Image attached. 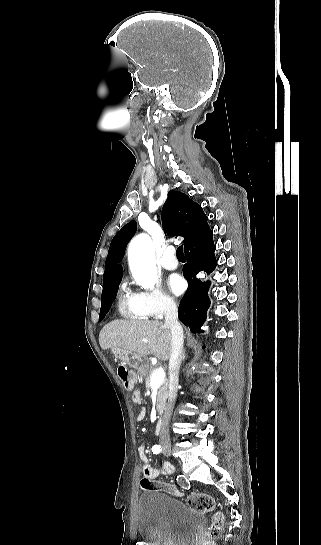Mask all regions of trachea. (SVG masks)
Listing matches in <instances>:
<instances>
[{
    "label": "trachea",
    "mask_w": 321,
    "mask_h": 545,
    "mask_svg": "<svg viewBox=\"0 0 321 545\" xmlns=\"http://www.w3.org/2000/svg\"><path fill=\"white\" fill-rule=\"evenodd\" d=\"M176 256L177 258L185 259L184 252H183V245H180V247L177 248Z\"/></svg>",
    "instance_id": "3493384b"
}]
</instances>
